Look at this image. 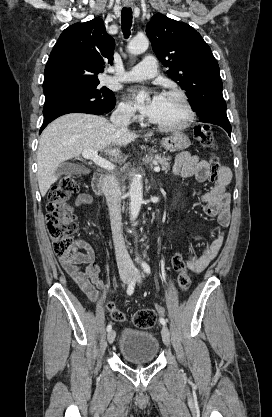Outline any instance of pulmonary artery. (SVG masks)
<instances>
[{
  "label": "pulmonary artery",
  "instance_id": "obj_1",
  "mask_svg": "<svg viewBox=\"0 0 272 417\" xmlns=\"http://www.w3.org/2000/svg\"><path fill=\"white\" fill-rule=\"evenodd\" d=\"M157 74V63L153 56H146L139 64L123 74H116L111 81H141L150 79Z\"/></svg>",
  "mask_w": 272,
  "mask_h": 417
}]
</instances>
